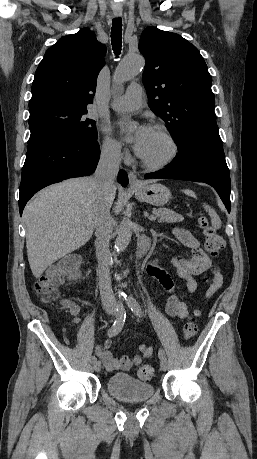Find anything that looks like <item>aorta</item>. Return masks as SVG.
I'll return each mask as SVG.
<instances>
[{"label":"aorta","mask_w":257,"mask_h":459,"mask_svg":"<svg viewBox=\"0 0 257 459\" xmlns=\"http://www.w3.org/2000/svg\"><path fill=\"white\" fill-rule=\"evenodd\" d=\"M145 61L141 55H127L117 67L114 74V86L118 87L133 78L144 67ZM133 224L129 217H123L117 230L115 240L116 253L123 252L131 241Z\"/></svg>","instance_id":"762f6f07"}]
</instances>
